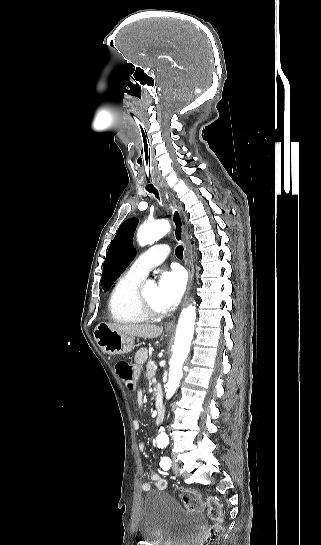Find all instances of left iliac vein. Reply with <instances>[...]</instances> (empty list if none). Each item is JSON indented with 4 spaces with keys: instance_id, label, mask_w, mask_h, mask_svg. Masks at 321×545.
<instances>
[{
    "instance_id": "1",
    "label": "left iliac vein",
    "mask_w": 321,
    "mask_h": 545,
    "mask_svg": "<svg viewBox=\"0 0 321 545\" xmlns=\"http://www.w3.org/2000/svg\"><path fill=\"white\" fill-rule=\"evenodd\" d=\"M172 471L176 476H180V466L176 461L172 463Z\"/></svg>"
}]
</instances>
